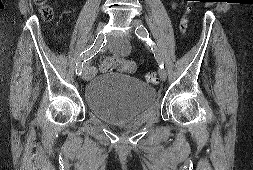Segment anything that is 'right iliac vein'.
Instances as JSON below:
<instances>
[{
    "label": "right iliac vein",
    "mask_w": 253,
    "mask_h": 170,
    "mask_svg": "<svg viewBox=\"0 0 253 170\" xmlns=\"http://www.w3.org/2000/svg\"><path fill=\"white\" fill-rule=\"evenodd\" d=\"M92 76V71L90 70V64L89 62L85 63L84 64V67H83V76H82V79L83 80H89Z\"/></svg>",
    "instance_id": "right-iliac-vein-1"
}]
</instances>
